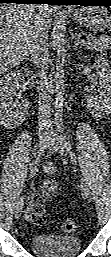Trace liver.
<instances>
[{
    "mask_svg": "<svg viewBox=\"0 0 111 257\" xmlns=\"http://www.w3.org/2000/svg\"><path fill=\"white\" fill-rule=\"evenodd\" d=\"M51 9L48 5L0 6V70L5 72L23 61L39 25L49 31Z\"/></svg>",
    "mask_w": 111,
    "mask_h": 257,
    "instance_id": "liver-1",
    "label": "liver"
}]
</instances>
